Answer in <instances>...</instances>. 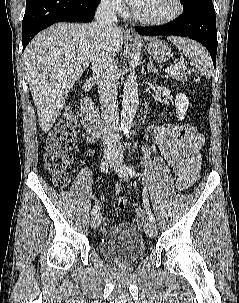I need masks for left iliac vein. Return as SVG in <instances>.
<instances>
[{"instance_id": "obj_1", "label": "left iliac vein", "mask_w": 239, "mask_h": 303, "mask_svg": "<svg viewBox=\"0 0 239 303\" xmlns=\"http://www.w3.org/2000/svg\"><path fill=\"white\" fill-rule=\"evenodd\" d=\"M113 168L120 178H122L124 181H129L130 177L132 176L130 169L122 163L120 158H115ZM144 231L149 237H154L157 233V226L155 222L151 220L146 221L144 224Z\"/></svg>"}]
</instances>
